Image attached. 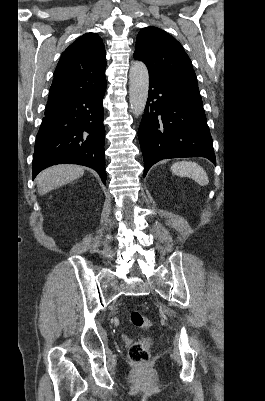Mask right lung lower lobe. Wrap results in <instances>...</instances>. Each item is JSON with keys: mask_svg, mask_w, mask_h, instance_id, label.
Wrapping results in <instances>:
<instances>
[{"mask_svg": "<svg viewBox=\"0 0 265 401\" xmlns=\"http://www.w3.org/2000/svg\"><path fill=\"white\" fill-rule=\"evenodd\" d=\"M106 87L46 105L33 154V178L62 163L93 168L106 181L102 100Z\"/></svg>", "mask_w": 265, "mask_h": 401, "instance_id": "right-lung-lower-lobe-1", "label": "right lung lower lobe"}]
</instances>
